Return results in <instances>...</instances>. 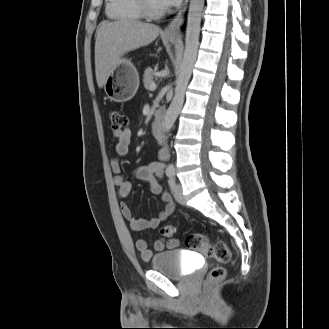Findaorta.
Instances as JSON below:
<instances>
[{
  "label": "aorta",
  "mask_w": 329,
  "mask_h": 329,
  "mask_svg": "<svg viewBox=\"0 0 329 329\" xmlns=\"http://www.w3.org/2000/svg\"><path fill=\"white\" fill-rule=\"evenodd\" d=\"M203 7L204 0H190L183 61L176 80L175 95L162 122L166 133L172 129L183 106L185 91L197 58ZM167 170L174 171V166L170 164Z\"/></svg>",
  "instance_id": "aorta-1"
}]
</instances>
